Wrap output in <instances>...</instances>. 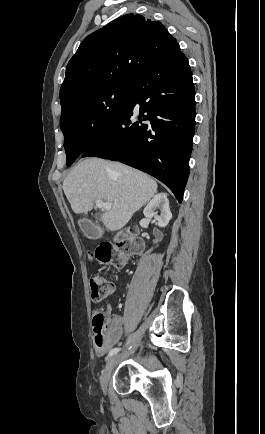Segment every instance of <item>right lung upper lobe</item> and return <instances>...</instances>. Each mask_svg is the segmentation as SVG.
Instances as JSON below:
<instances>
[{"instance_id":"cb5924a9","label":"right lung upper lobe","mask_w":265,"mask_h":434,"mask_svg":"<svg viewBox=\"0 0 265 434\" xmlns=\"http://www.w3.org/2000/svg\"><path fill=\"white\" fill-rule=\"evenodd\" d=\"M176 44L159 21L138 14L121 16L82 41L67 65L60 96L112 76L136 78Z\"/></svg>"}]
</instances>
